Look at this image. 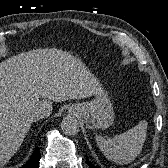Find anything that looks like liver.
Wrapping results in <instances>:
<instances>
[{
    "label": "liver",
    "instance_id": "obj_1",
    "mask_svg": "<svg viewBox=\"0 0 168 168\" xmlns=\"http://www.w3.org/2000/svg\"><path fill=\"white\" fill-rule=\"evenodd\" d=\"M102 89L96 77L67 51L20 53L0 63V166L20 148L31 128L29 111L52 101L83 99Z\"/></svg>",
    "mask_w": 168,
    "mask_h": 168
}]
</instances>
